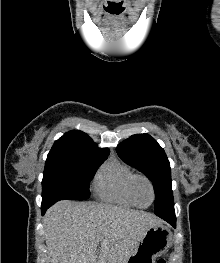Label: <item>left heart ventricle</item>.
<instances>
[{
  "instance_id": "1",
  "label": "left heart ventricle",
  "mask_w": 220,
  "mask_h": 263,
  "mask_svg": "<svg viewBox=\"0 0 220 263\" xmlns=\"http://www.w3.org/2000/svg\"><path fill=\"white\" fill-rule=\"evenodd\" d=\"M135 195H136L137 202L140 205H147L151 201V191L148 185L142 180H139L136 183Z\"/></svg>"
}]
</instances>
